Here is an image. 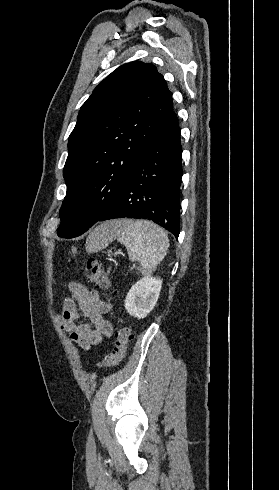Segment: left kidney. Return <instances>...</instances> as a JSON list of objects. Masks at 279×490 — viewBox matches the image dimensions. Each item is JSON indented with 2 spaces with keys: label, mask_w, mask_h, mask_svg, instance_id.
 Returning <instances> with one entry per match:
<instances>
[{
  "label": "left kidney",
  "mask_w": 279,
  "mask_h": 490,
  "mask_svg": "<svg viewBox=\"0 0 279 490\" xmlns=\"http://www.w3.org/2000/svg\"><path fill=\"white\" fill-rule=\"evenodd\" d=\"M162 288L160 278L144 276L129 290L125 300V310L130 316L142 320L152 312Z\"/></svg>",
  "instance_id": "obj_1"
}]
</instances>
